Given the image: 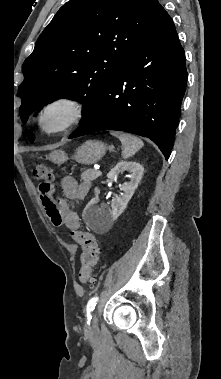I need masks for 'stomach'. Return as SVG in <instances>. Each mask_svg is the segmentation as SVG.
I'll use <instances>...</instances> for the list:
<instances>
[{
	"label": "stomach",
	"instance_id": "1",
	"mask_svg": "<svg viewBox=\"0 0 221 379\" xmlns=\"http://www.w3.org/2000/svg\"><path fill=\"white\" fill-rule=\"evenodd\" d=\"M110 148V146H107L101 141L88 140L78 147L73 158L80 164H94L98 162ZM49 159L55 164H62L68 157L63 150H54L50 153Z\"/></svg>",
	"mask_w": 221,
	"mask_h": 379
}]
</instances>
